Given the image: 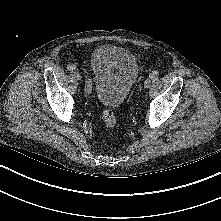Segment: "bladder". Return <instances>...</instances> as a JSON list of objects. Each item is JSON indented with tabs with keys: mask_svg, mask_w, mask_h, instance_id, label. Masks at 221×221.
I'll list each match as a JSON object with an SVG mask.
<instances>
[{
	"mask_svg": "<svg viewBox=\"0 0 221 221\" xmlns=\"http://www.w3.org/2000/svg\"><path fill=\"white\" fill-rule=\"evenodd\" d=\"M92 88L97 101L116 108L130 95L139 76L135 56L125 48L104 45L91 56Z\"/></svg>",
	"mask_w": 221,
	"mask_h": 221,
	"instance_id": "bladder-1",
	"label": "bladder"
}]
</instances>
